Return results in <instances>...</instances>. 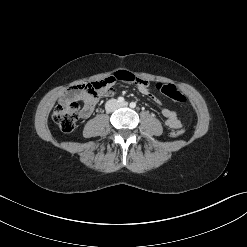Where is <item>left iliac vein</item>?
<instances>
[{"label": "left iliac vein", "instance_id": "left-iliac-vein-1", "mask_svg": "<svg viewBox=\"0 0 247 247\" xmlns=\"http://www.w3.org/2000/svg\"><path fill=\"white\" fill-rule=\"evenodd\" d=\"M127 105H128L127 102H124V103L120 104V106H122V107H126Z\"/></svg>", "mask_w": 247, "mask_h": 247}]
</instances>
